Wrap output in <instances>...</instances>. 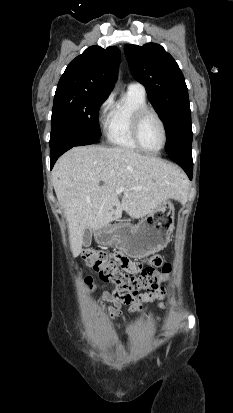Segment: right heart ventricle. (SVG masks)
Listing matches in <instances>:
<instances>
[{
    "mask_svg": "<svg viewBox=\"0 0 233 413\" xmlns=\"http://www.w3.org/2000/svg\"><path fill=\"white\" fill-rule=\"evenodd\" d=\"M144 106H147L145 93L131 89L111 106L104 129L109 144L125 150H139L132 138L131 123L134 113Z\"/></svg>",
    "mask_w": 233,
    "mask_h": 413,
    "instance_id": "1",
    "label": "right heart ventricle"
}]
</instances>
